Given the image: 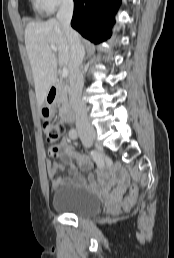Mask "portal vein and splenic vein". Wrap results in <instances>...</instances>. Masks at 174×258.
I'll list each match as a JSON object with an SVG mask.
<instances>
[{
	"label": "portal vein and splenic vein",
	"mask_w": 174,
	"mask_h": 258,
	"mask_svg": "<svg viewBox=\"0 0 174 258\" xmlns=\"http://www.w3.org/2000/svg\"><path fill=\"white\" fill-rule=\"evenodd\" d=\"M51 48H52V50L54 51V52H56L57 51V47L55 46V45H51ZM68 76V69L66 68V67H64L63 69H62V77H67Z\"/></svg>",
	"instance_id": "obj_1"
}]
</instances>
